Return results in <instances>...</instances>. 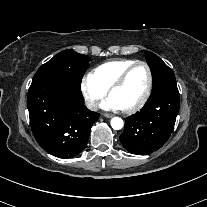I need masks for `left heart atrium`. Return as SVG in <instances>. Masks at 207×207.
Returning a JSON list of instances; mask_svg holds the SVG:
<instances>
[{
  "label": "left heart atrium",
  "instance_id": "left-heart-atrium-1",
  "mask_svg": "<svg viewBox=\"0 0 207 207\" xmlns=\"http://www.w3.org/2000/svg\"><path fill=\"white\" fill-rule=\"evenodd\" d=\"M102 108L107 110H117L120 109L117 103L110 97L102 104Z\"/></svg>",
  "mask_w": 207,
  "mask_h": 207
}]
</instances>
